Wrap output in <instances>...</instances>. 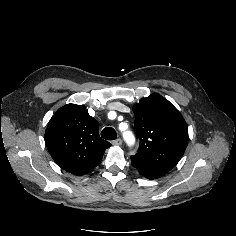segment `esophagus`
<instances>
[{
  "label": "esophagus",
  "mask_w": 236,
  "mask_h": 236,
  "mask_svg": "<svg viewBox=\"0 0 236 236\" xmlns=\"http://www.w3.org/2000/svg\"><path fill=\"white\" fill-rule=\"evenodd\" d=\"M112 144L115 145V146H119V145H121V144H122V140H121V138H118V139L112 141Z\"/></svg>",
  "instance_id": "1"
}]
</instances>
